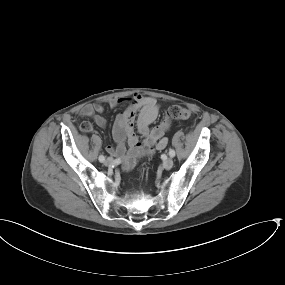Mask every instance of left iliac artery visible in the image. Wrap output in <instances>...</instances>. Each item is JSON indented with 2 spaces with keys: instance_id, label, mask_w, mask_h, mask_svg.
<instances>
[{
  "instance_id": "1",
  "label": "left iliac artery",
  "mask_w": 285,
  "mask_h": 285,
  "mask_svg": "<svg viewBox=\"0 0 285 285\" xmlns=\"http://www.w3.org/2000/svg\"><path fill=\"white\" fill-rule=\"evenodd\" d=\"M169 156L174 157L175 156V151L173 149H169Z\"/></svg>"
}]
</instances>
